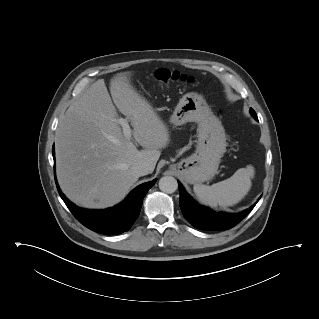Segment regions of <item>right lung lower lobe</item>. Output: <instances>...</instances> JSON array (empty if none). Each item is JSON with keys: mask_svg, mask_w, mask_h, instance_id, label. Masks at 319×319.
Here are the masks:
<instances>
[{"mask_svg": "<svg viewBox=\"0 0 319 319\" xmlns=\"http://www.w3.org/2000/svg\"><path fill=\"white\" fill-rule=\"evenodd\" d=\"M52 153L54 157V146ZM154 183L155 180L139 185L122 203L105 210L79 208L65 197L58 185L57 189L66 206L80 223L97 233L117 235L131 228L139 216L144 196Z\"/></svg>", "mask_w": 319, "mask_h": 319, "instance_id": "obj_1", "label": "right lung lower lobe"}]
</instances>
